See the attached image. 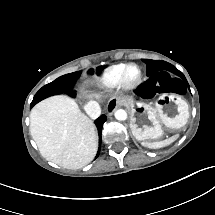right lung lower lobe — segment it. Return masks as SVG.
Listing matches in <instances>:
<instances>
[{
    "mask_svg": "<svg viewBox=\"0 0 215 215\" xmlns=\"http://www.w3.org/2000/svg\"><path fill=\"white\" fill-rule=\"evenodd\" d=\"M106 116L105 115H102L100 116L96 121H95V124L98 128V133H99V141H100V145H101V132H102V126H103V123L106 121ZM99 151H100V147H99ZM98 156V155H97Z\"/></svg>",
    "mask_w": 215,
    "mask_h": 215,
    "instance_id": "98d812e1",
    "label": "right lung lower lobe"
}]
</instances>
